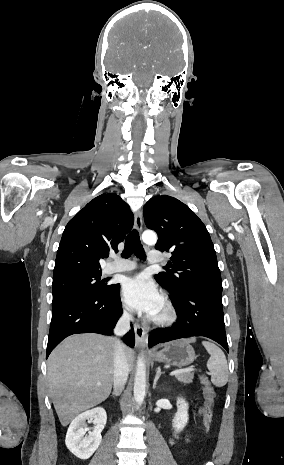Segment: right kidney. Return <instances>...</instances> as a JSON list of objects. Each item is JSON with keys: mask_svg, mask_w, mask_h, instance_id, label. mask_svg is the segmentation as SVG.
<instances>
[{"mask_svg": "<svg viewBox=\"0 0 284 465\" xmlns=\"http://www.w3.org/2000/svg\"><path fill=\"white\" fill-rule=\"evenodd\" d=\"M93 419V433L86 435L83 427H85V421ZM107 415L106 411L102 407H96L91 411H85L78 417H75L72 421L66 435L65 445L75 457L78 459H89L96 449H98L102 437L101 433L106 425Z\"/></svg>", "mask_w": 284, "mask_h": 465, "instance_id": "1", "label": "right kidney"}]
</instances>
